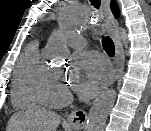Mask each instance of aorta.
<instances>
[{
    "label": "aorta",
    "mask_w": 151,
    "mask_h": 131,
    "mask_svg": "<svg viewBox=\"0 0 151 131\" xmlns=\"http://www.w3.org/2000/svg\"><path fill=\"white\" fill-rule=\"evenodd\" d=\"M64 26L72 29H80L84 21L77 17L75 9L66 7L60 15ZM66 50L62 40L59 37H53L47 44V56L53 60H59L67 57ZM116 91L107 90L95 99L89 111L85 131H104L108 114L110 113L115 101Z\"/></svg>",
    "instance_id": "1"
}]
</instances>
